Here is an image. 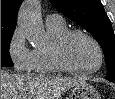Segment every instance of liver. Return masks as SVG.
I'll use <instances>...</instances> for the list:
<instances>
[{"mask_svg":"<svg viewBox=\"0 0 115 99\" xmlns=\"http://www.w3.org/2000/svg\"><path fill=\"white\" fill-rule=\"evenodd\" d=\"M82 82L63 76L17 75L1 70V99H59Z\"/></svg>","mask_w":115,"mask_h":99,"instance_id":"obj_1","label":"liver"}]
</instances>
